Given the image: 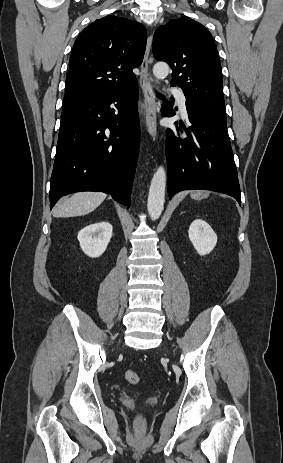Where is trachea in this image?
<instances>
[{"label": "trachea", "instance_id": "obj_1", "mask_svg": "<svg viewBox=\"0 0 283 463\" xmlns=\"http://www.w3.org/2000/svg\"><path fill=\"white\" fill-rule=\"evenodd\" d=\"M157 97L160 98V99H164V96L160 93H157Z\"/></svg>", "mask_w": 283, "mask_h": 463}]
</instances>
